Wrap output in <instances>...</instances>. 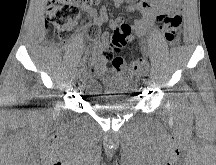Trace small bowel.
<instances>
[{"label":"small bowel","instance_id":"1","mask_svg":"<svg viewBox=\"0 0 216 165\" xmlns=\"http://www.w3.org/2000/svg\"><path fill=\"white\" fill-rule=\"evenodd\" d=\"M126 1L128 0H114V3L119 6ZM180 4L181 0H130V3L127 5V10L139 11L142 14V18L136 20L131 26L134 32L132 37H138L144 34L152 24L154 17L162 16L173 9H178ZM88 11L93 16L96 25L101 26L108 22V12L105 7H101L99 10L89 8ZM122 23L123 18H118L115 21L109 22L110 26L113 28ZM108 45L109 33L105 32L101 40L94 43V52L100 53L106 50Z\"/></svg>","mask_w":216,"mask_h":165}]
</instances>
